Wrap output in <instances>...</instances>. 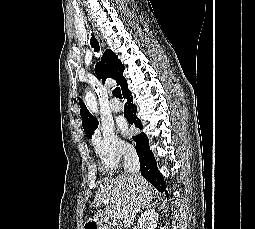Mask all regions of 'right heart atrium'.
<instances>
[{
  "mask_svg": "<svg viewBox=\"0 0 255 229\" xmlns=\"http://www.w3.org/2000/svg\"><path fill=\"white\" fill-rule=\"evenodd\" d=\"M92 144L102 167L106 170L117 167L123 158L133 153V147L107 126L101 127L94 134Z\"/></svg>",
  "mask_w": 255,
  "mask_h": 229,
  "instance_id": "d8ad5b80",
  "label": "right heart atrium"
}]
</instances>
